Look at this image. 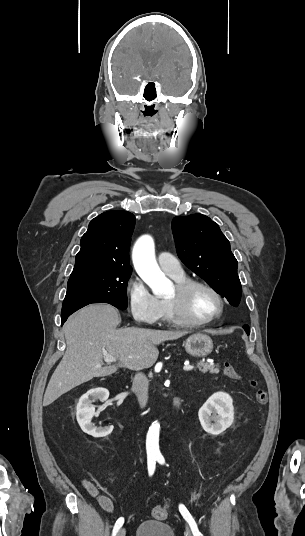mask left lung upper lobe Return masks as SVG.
Instances as JSON below:
<instances>
[{
  "mask_svg": "<svg viewBox=\"0 0 305 536\" xmlns=\"http://www.w3.org/2000/svg\"><path fill=\"white\" fill-rule=\"evenodd\" d=\"M172 230L182 262L231 305L237 306L241 298L238 263L218 224L202 214L177 216Z\"/></svg>",
  "mask_w": 305,
  "mask_h": 536,
  "instance_id": "5c2ea615",
  "label": "left lung upper lobe"
}]
</instances>
